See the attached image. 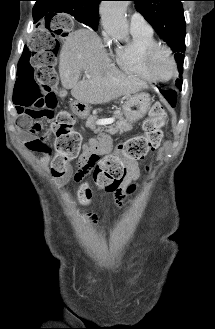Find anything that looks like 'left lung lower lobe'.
<instances>
[{"mask_svg": "<svg viewBox=\"0 0 215 329\" xmlns=\"http://www.w3.org/2000/svg\"><path fill=\"white\" fill-rule=\"evenodd\" d=\"M164 97L168 100L172 107H175L176 104V91L168 90V91H161Z\"/></svg>", "mask_w": 215, "mask_h": 329, "instance_id": "left-lung-lower-lobe-1", "label": "left lung lower lobe"}]
</instances>
